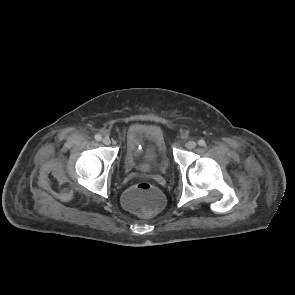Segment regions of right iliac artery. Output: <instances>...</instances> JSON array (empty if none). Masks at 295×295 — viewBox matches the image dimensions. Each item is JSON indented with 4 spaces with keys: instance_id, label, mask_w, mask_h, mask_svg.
I'll return each instance as SVG.
<instances>
[{
    "instance_id": "right-iliac-artery-1",
    "label": "right iliac artery",
    "mask_w": 295,
    "mask_h": 295,
    "mask_svg": "<svg viewBox=\"0 0 295 295\" xmlns=\"http://www.w3.org/2000/svg\"><path fill=\"white\" fill-rule=\"evenodd\" d=\"M95 139H96L97 141H100V140L102 139V136H101L100 134H96V135H95Z\"/></svg>"
}]
</instances>
